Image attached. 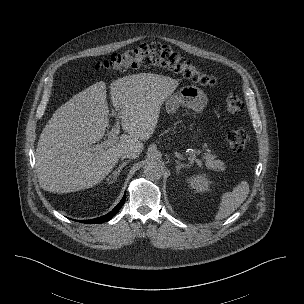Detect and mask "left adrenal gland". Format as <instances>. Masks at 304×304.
I'll return each mask as SVG.
<instances>
[{"mask_svg":"<svg viewBox=\"0 0 304 304\" xmlns=\"http://www.w3.org/2000/svg\"><path fill=\"white\" fill-rule=\"evenodd\" d=\"M176 162V171L179 172L182 168L189 166V164L181 163L179 160H175Z\"/></svg>","mask_w":304,"mask_h":304,"instance_id":"obj_1","label":"left adrenal gland"}]
</instances>
